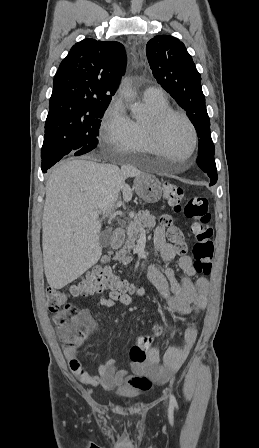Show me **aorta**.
I'll return each mask as SVG.
<instances>
[{"instance_id":"obj_1","label":"aorta","mask_w":259,"mask_h":448,"mask_svg":"<svg viewBox=\"0 0 259 448\" xmlns=\"http://www.w3.org/2000/svg\"><path fill=\"white\" fill-rule=\"evenodd\" d=\"M119 93L127 101H131L135 97V92L128 86L126 81L121 83ZM131 108L132 111H137V106L135 104H133Z\"/></svg>"}]
</instances>
